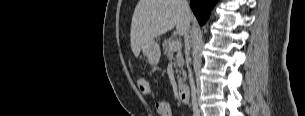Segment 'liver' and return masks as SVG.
<instances>
[{"label":"liver","mask_w":305,"mask_h":116,"mask_svg":"<svg viewBox=\"0 0 305 116\" xmlns=\"http://www.w3.org/2000/svg\"><path fill=\"white\" fill-rule=\"evenodd\" d=\"M191 20V11L185 8L184 0H139L131 22L133 54L138 57L147 42L175 26L179 35L185 34L186 26Z\"/></svg>","instance_id":"6515ba94"}]
</instances>
